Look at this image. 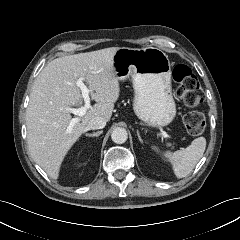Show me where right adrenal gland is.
Instances as JSON below:
<instances>
[{
    "mask_svg": "<svg viewBox=\"0 0 240 240\" xmlns=\"http://www.w3.org/2000/svg\"><path fill=\"white\" fill-rule=\"evenodd\" d=\"M100 134H102V131H97L92 134H86L87 137H98Z\"/></svg>",
    "mask_w": 240,
    "mask_h": 240,
    "instance_id": "right-adrenal-gland-1",
    "label": "right adrenal gland"
}]
</instances>
